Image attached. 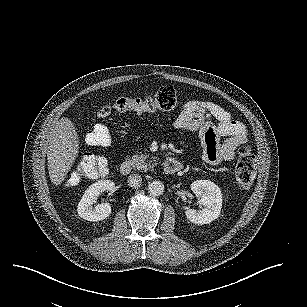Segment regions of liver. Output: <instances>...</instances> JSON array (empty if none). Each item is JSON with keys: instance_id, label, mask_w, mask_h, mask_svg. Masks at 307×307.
Segmentation results:
<instances>
[{"instance_id": "6515ba94", "label": "liver", "mask_w": 307, "mask_h": 307, "mask_svg": "<svg viewBox=\"0 0 307 307\" xmlns=\"http://www.w3.org/2000/svg\"><path fill=\"white\" fill-rule=\"evenodd\" d=\"M79 153V137L70 119L61 118L54 127L47 150L51 182L58 186L66 178Z\"/></svg>"}]
</instances>
